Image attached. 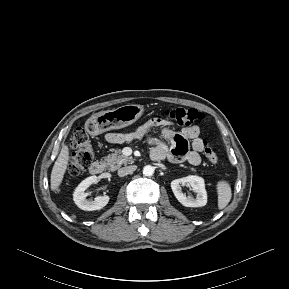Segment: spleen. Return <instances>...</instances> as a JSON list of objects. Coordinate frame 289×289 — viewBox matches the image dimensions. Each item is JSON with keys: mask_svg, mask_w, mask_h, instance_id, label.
Masks as SVG:
<instances>
[{"mask_svg": "<svg viewBox=\"0 0 289 289\" xmlns=\"http://www.w3.org/2000/svg\"><path fill=\"white\" fill-rule=\"evenodd\" d=\"M217 194H218V208L224 209L231 200V186L227 181H219L217 183Z\"/></svg>", "mask_w": 289, "mask_h": 289, "instance_id": "3e777b00", "label": "spleen"}]
</instances>
